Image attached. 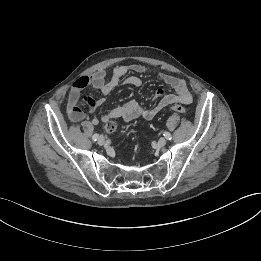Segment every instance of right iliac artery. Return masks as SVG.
I'll use <instances>...</instances> for the list:
<instances>
[{
  "label": "right iliac artery",
  "instance_id": "right-iliac-artery-1",
  "mask_svg": "<svg viewBox=\"0 0 261 261\" xmlns=\"http://www.w3.org/2000/svg\"><path fill=\"white\" fill-rule=\"evenodd\" d=\"M98 138H99V135H98V134H94L93 137H92V139H93L94 141H96Z\"/></svg>",
  "mask_w": 261,
  "mask_h": 261
}]
</instances>
